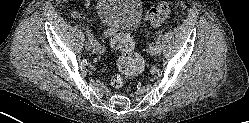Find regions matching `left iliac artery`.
I'll use <instances>...</instances> for the list:
<instances>
[{
	"instance_id": "1",
	"label": "left iliac artery",
	"mask_w": 249,
	"mask_h": 123,
	"mask_svg": "<svg viewBox=\"0 0 249 123\" xmlns=\"http://www.w3.org/2000/svg\"><path fill=\"white\" fill-rule=\"evenodd\" d=\"M156 45H157V48H158V54L161 53V33L158 32L157 34V40H156Z\"/></svg>"
}]
</instances>
